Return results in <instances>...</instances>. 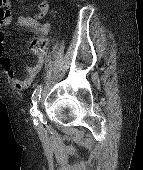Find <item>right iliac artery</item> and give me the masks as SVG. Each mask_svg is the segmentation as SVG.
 Listing matches in <instances>:
<instances>
[{
  "label": "right iliac artery",
  "instance_id": "82829eb1",
  "mask_svg": "<svg viewBox=\"0 0 143 170\" xmlns=\"http://www.w3.org/2000/svg\"><path fill=\"white\" fill-rule=\"evenodd\" d=\"M41 91H42V86L39 85L35 89V91L32 94V104L33 107L31 108L30 112L32 116H37L39 111L37 110V103L41 97ZM34 124L37 125L36 120H34Z\"/></svg>",
  "mask_w": 143,
  "mask_h": 170
}]
</instances>
